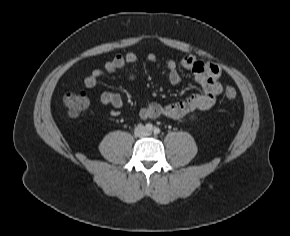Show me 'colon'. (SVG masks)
<instances>
[{
    "label": "colon",
    "instance_id": "1",
    "mask_svg": "<svg viewBox=\"0 0 290 236\" xmlns=\"http://www.w3.org/2000/svg\"><path fill=\"white\" fill-rule=\"evenodd\" d=\"M224 95L228 100H234L237 97V91L232 87H228ZM63 102L71 117L79 116L89 105L88 97L83 91L66 93L63 97Z\"/></svg>",
    "mask_w": 290,
    "mask_h": 236
}]
</instances>
